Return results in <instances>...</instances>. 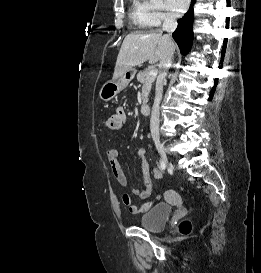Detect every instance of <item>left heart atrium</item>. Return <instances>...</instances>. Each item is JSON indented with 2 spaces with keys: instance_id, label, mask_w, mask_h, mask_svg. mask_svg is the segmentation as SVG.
Masks as SVG:
<instances>
[{
  "instance_id": "39dd6f15",
  "label": "left heart atrium",
  "mask_w": 261,
  "mask_h": 273,
  "mask_svg": "<svg viewBox=\"0 0 261 273\" xmlns=\"http://www.w3.org/2000/svg\"><path fill=\"white\" fill-rule=\"evenodd\" d=\"M169 5L177 12H181L188 7L189 0H167Z\"/></svg>"
}]
</instances>
